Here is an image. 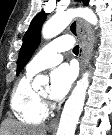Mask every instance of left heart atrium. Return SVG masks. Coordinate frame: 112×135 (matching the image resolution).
<instances>
[{
    "instance_id": "left-heart-atrium-1",
    "label": "left heart atrium",
    "mask_w": 112,
    "mask_h": 135,
    "mask_svg": "<svg viewBox=\"0 0 112 135\" xmlns=\"http://www.w3.org/2000/svg\"><path fill=\"white\" fill-rule=\"evenodd\" d=\"M76 78V70L73 66L63 64L51 73L50 97L59 101L65 97Z\"/></svg>"
}]
</instances>
